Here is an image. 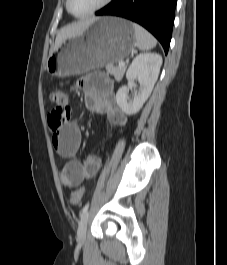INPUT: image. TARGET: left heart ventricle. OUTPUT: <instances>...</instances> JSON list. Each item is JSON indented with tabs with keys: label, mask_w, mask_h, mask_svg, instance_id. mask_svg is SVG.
<instances>
[{
	"label": "left heart ventricle",
	"mask_w": 227,
	"mask_h": 265,
	"mask_svg": "<svg viewBox=\"0 0 227 265\" xmlns=\"http://www.w3.org/2000/svg\"><path fill=\"white\" fill-rule=\"evenodd\" d=\"M102 0H70V9L75 14H83L96 7Z\"/></svg>",
	"instance_id": "b2bd125f"
}]
</instances>
